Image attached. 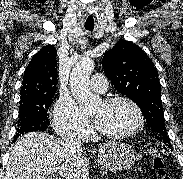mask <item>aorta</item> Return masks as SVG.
<instances>
[{
    "mask_svg": "<svg viewBox=\"0 0 183 179\" xmlns=\"http://www.w3.org/2000/svg\"><path fill=\"white\" fill-rule=\"evenodd\" d=\"M94 60L83 58L76 63L70 74V89L83 112H91L100 103L99 96L89 87V78L94 69Z\"/></svg>",
    "mask_w": 183,
    "mask_h": 179,
    "instance_id": "1",
    "label": "aorta"
}]
</instances>
